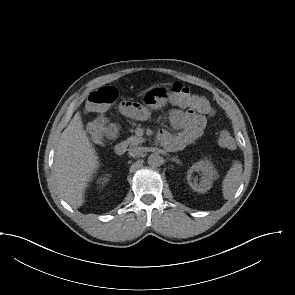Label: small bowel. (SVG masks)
Listing matches in <instances>:
<instances>
[{
  "label": "small bowel",
  "mask_w": 295,
  "mask_h": 295,
  "mask_svg": "<svg viewBox=\"0 0 295 295\" xmlns=\"http://www.w3.org/2000/svg\"><path fill=\"white\" fill-rule=\"evenodd\" d=\"M173 103L183 108L186 107L177 103L175 100H173ZM119 112L125 116L139 120H143L147 117V110L141 105L131 101L121 102L119 104ZM169 119L172 126L179 130V132L172 134L162 129L159 132V139L171 150H180L194 142L203 134L206 127V118L191 108L185 110L179 108L171 109L169 112ZM108 134L110 137L116 136L117 130L114 125L108 127Z\"/></svg>",
  "instance_id": "obj_1"
}]
</instances>
